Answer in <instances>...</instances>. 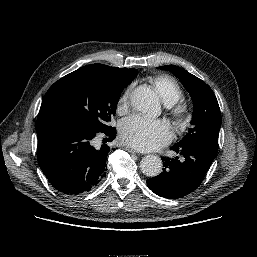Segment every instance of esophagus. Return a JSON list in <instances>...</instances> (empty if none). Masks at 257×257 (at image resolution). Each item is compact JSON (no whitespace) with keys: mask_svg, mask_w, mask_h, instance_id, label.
I'll list each match as a JSON object with an SVG mask.
<instances>
[{"mask_svg":"<svg viewBox=\"0 0 257 257\" xmlns=\"http://www.w3.org/2000/svg\"><path fill=\"white\" fill-rule=\"evenodd\" d=\"M126 151L130 152V153H133V154H138V152L132 148H129V147H126L125 148Z\"/></svg>","mask_w":257,"mask_h":257,"instance_id":"34e87169","label":"esophagus"}]
</instances>
